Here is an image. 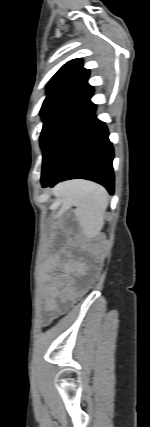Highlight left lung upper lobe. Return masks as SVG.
<instances>
[{
    "mask_svg": "<svg viewBox=\"0 0 150 427\" xmlns=\"http://www.w3.org/2000/svg\"><path fill=\"white\" fill-rule=\"evenodd\" d=\"M88 77L89 70L83 68L82 59H73L63 65L47 85V96L40 110L43 121L81 96L90 87Z\"/></svg>",
    "mask_w": 150,
    "mask_h": 427,
    "instance_id": "5c2ea615",
    "label": "left lung upper lobe"
}]
</instances>
